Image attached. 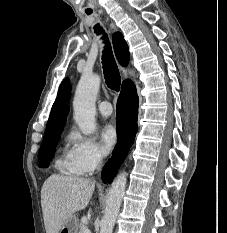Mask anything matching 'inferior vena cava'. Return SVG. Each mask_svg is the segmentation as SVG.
Wrapping results in <instances>:
<instances>
[{"label": "inferior vena cava", "instance_id": "602c4592", "mask_svg": "<svg viewBox=\"0 0 227 233\" xmlns=\"http://www.w3.org/2000/svg\"><path fill=\"white\" fill-rule=\"evenodd\" d=\"M101 155L98 156V162H101Z\"/></svg>", "mask_w": 227, "mask_h": 233}]
</instances>
